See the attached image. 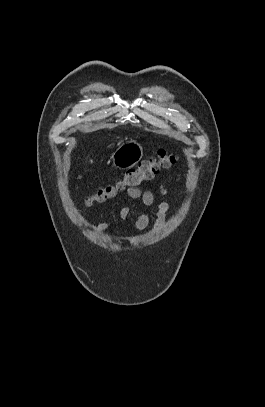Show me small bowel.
<instances>
[{
	"instance_id": "small-bowel-1",
	"label": "small bowel",
	"mask_w": 265,
	"mask_h": 407,
	"mask_svg": "<svg viewBox=\"0 0 265 407\" xmlns=\"http://www.w3.org/2000/svg\"><path fill=\"white\" fill-rule=\"evenodd\" d=\"M159 190L162 196L164 197L167 196V190L163 186H160ZM126 195L131 199H140L145 207H149L154 203V195L149 190L141 191L139 188H129L126 190ZM169 209L170 205L167 200H164L159 204L158 210L156 212V218L151 229L152 232L154 233L159 232L160 230L163 229L167 220V214L169 212ZM130 214L131 209L125 206L121 208V210L119 211L118 217L120 220H124ZM149 225H150V215L147 211H145L137 217L134 223V229L137 231H143L147 229ZM111 227H112L111 223L102 222L92 225L91 229L95 232H105L108 231Z\"/></svg>"
}]
</instances>
